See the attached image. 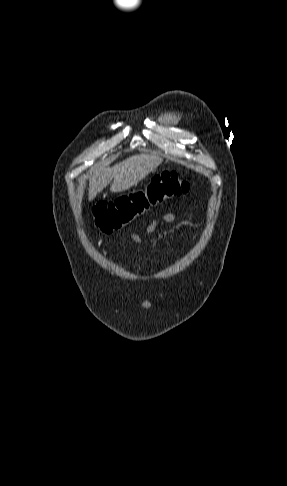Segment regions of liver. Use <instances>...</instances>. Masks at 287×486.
<instances>
[{
  "instance_id": "1",
  "label": "liver",
  "mask_w": 287,
  "mask_h": 486,
  "mask_svg": "<svg viewBox=\"0 0 287 486\" xmlns=\"http://www.w3.org/2000/svg\"><path fill=\"white\" fill-rule=\"evenodd\" d=\"M163 159L152 155H135L113 167L95 169L91 175L88 199L93 200L113 179L111 192H121L137 185L151 171L157 168Z\"/></svg>"
}]
</instances>
